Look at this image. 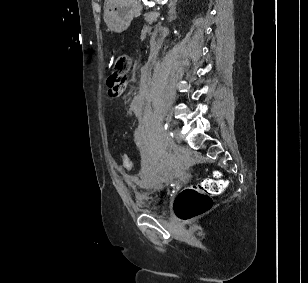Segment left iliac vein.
<instances>
[{
    "mask_svg": "<svg viewBox=\"0 0 308 283\" xmlns=\"http://www.w3.org/2000/svg\"><path fill=\"white\" fill-rule=\"evenodd\" d=\"M173 134H174V139L168 138L169 144H173L174 142L180 143L181 142V137H180L179 130L177 128H175L173 130Z\"/></svg>",
    "mask_w": 308,
    "mask_h": 283,
    "instance_id": "4c4485c4",
    "label": "left iliac vein"
}]
</instances>
